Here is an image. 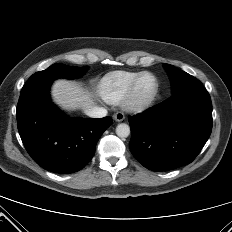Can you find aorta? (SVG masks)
<instances>
[{"label":"aorta","mask_w":232,"mask_h":232,"mask_svg":"<svg viewBox=\"0 0 232 232\" xmlns=\"http://www.w3.org/2000/svg\"><path fill=\"white\" fill-rule=\"evenodd\" d=\"M116 134L120 138H126L130 135V127L125 123L118 124L116 127Z\"/></svg>","instance_id":"aorta-1"}]
</instances>
